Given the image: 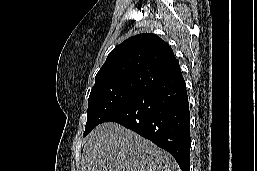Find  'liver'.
Masks as SVG:
<instances>
[{
  "label": "liver",
  "instance_id": "liver-1",
  "mask_svg": "<svg viewBox=\"0 0 257 171\" xmlns=\"http://www.w3.org/2000/svg\"><path fill=\"white\" fill-rule=\"evenodd\" d=\"M79 171H181L165 150L137 133L107 122L85 139Z\"/></svg>",
  "mask_w": 257,
  "mask_h": 171
}]
</instances>
